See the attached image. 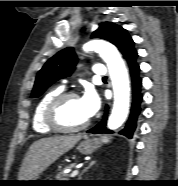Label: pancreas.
I'll return each mask as SVG.
<instances>
[{
  "instance_id": "obj_1",
  "label": "pancreas",
  "mask_w": 178,
  "mask_h": 186,
  "mask_svg": "<svg viewBox=\"0 0 178 186\" xmlns=\"http://www.w3.org/2000/svg\"><path fill=\"white\" fill-rule=\"evenodd\" d=\"M74 164H71L69 166H66L63 170H61L57 175H56V181H68L69 180V174L64 173L65 169L73 167Z\"/></svg>"
}]
</instances>
